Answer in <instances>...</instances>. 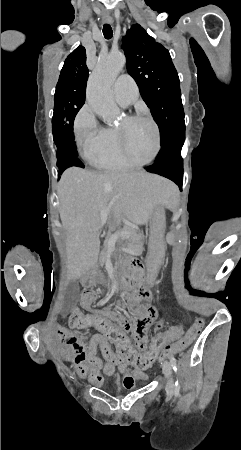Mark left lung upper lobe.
Wrapping results in <instances>:
<instances>
[{
  "label": "left lung upper lobe",
  "instance_id": "obj_1",
  "mask_svg": "<svg viewBox=\"0 0 241 450\" xmlns=\"http://www.w3.org/2000/svg\"><path fill=\"white\" fill-rule=\"evenodd\" d=\"M122 45L128 73L150 108L161 134V145L173 133L184 130L180 82L169 51L138 24L127 31Z\"/></svg>",
  "mask_w": 241,
  "mask_h": 450
}]
</instances>
